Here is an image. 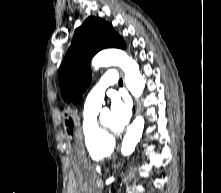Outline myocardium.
<instances>
[{
  "instance_id": "obj_1",
  "label": "myocardium",
  "mask_w": 221,
  "mask_h": 193,
  "mask_svg": "<svg viewBox=\"0 0 221 193\" xmlns=\"http://www.w3.org/2000/svg\"><path fill=\"white\" fill-rule=\"evenodd\" d=\"M98 128H99L100 132L108 139H113L111 136L117 134L116 130H111V129L107 128L103 124L102 120L98 121Z\"/></svg>"
}]
</instances>
